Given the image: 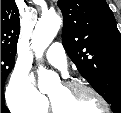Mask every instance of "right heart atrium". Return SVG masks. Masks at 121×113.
Returning a JSON list of instances; mask_svg holds the SVG:
<instances>
[{"label": "right heart atrium", "mask_w": 121, "mask_h": 113, "mask_svg": "<svg viewBox=\"0 0 121 113\" xmlns=\"http://www.w3.org/2000/svg\"><path fill=\"white\" fill-rule=\"evenodd\" d=\"M5 96L9 109L15 113H41L46 108V98L22 69L13 71Z\"/></svg>", "instance_id": "d8ad5b80"}]
</instances>
